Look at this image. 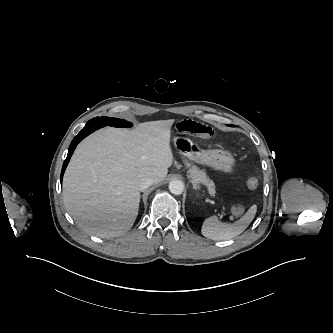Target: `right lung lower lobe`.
I'll return each instance as SVG.
<instances>
[{
	"mask_svg": "<svg viewBox=\"0 0 333 333\" xmlns=\"http://www.w3.org/2000/svg\"><path fill=\"white\" fill-rule=\"evenodd\" d=\"M103 127L102 125H86L80 132L79 134L73 139V141L71 142L70 146H69V150H68V155L66 160L64 161L63 167H62V172H61V181L63 178V174L65 172V169L67 167V164L77 146V144L83 139L85 138L87 135H89L90 133H92L93 131L99 129Z\"/></svg>",
	"mask_w": 333,
	"mask_h": 333,
	"instance_id": "obj_1",
	"label": "right lung lower lobe"
}]
</instances>
